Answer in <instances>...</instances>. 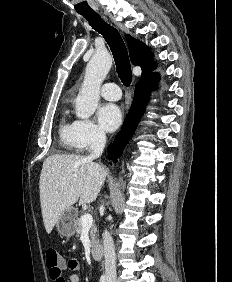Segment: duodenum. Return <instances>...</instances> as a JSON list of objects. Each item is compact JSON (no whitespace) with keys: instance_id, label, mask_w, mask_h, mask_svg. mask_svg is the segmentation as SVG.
<instances>
[{"instance_id":"obj_1","label":"duodenum","mask_w":232,"mask_h":282,"mask_svg":"<svg viewBox=\"0 0 232 282\" xmlns=\"http://www.w3.org/2000/svg\"><path fill=\"white\" fill-rule=\"evenodd\" d=\"M91 254L94 260L100 261L104 255L103 246L100 243H94L91 248Z\"/></svg>"}]
</instances>
